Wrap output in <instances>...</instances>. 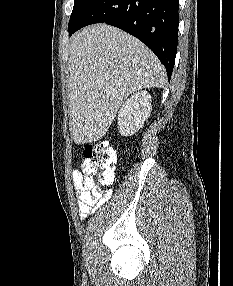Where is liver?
I'll list each match as a JSON object with an SVG mask.
<instances>
[{
	"instance_id": "liver-1",
	"label": "liver",
	"mask_w": 233,
	"mask_h": 286,
	"mask_svg": "<svg viewBox=\"0 0 233 286\" xmlns=\"http://www.w3.org/2000/svg\"><path fill=\"white\" fill-rule=\"evenodd\" d=\"M69 56V123L77 144L105 136L130 94L166 83L165 69L152 51L110 25H91L76 33Z\"/></svg>"
}]
</instances>
